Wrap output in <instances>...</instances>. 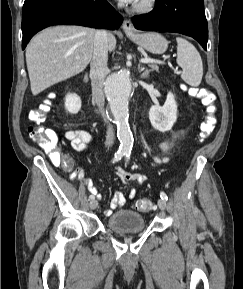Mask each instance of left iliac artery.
<instances>
[{"label": "left iliac artery", "instance_id": "left-iliac-artery-1", "mask_svg": "<svg viewBox=\"0 0 243 289\" xmlns=\"http://www.w3.org/2000/svg\"><path fill=\"white\" fill-rule=\"evenodd\" d=\"M125 158H126V161H129V159H130V151H127V152L125 153ZM160 197H161V199H163V200H165V201L168 200V197H167L166 193L163 192V191L160 192Z\"/></svg>", "mask_w": 243, "mask_h": 289}]
</instances>
